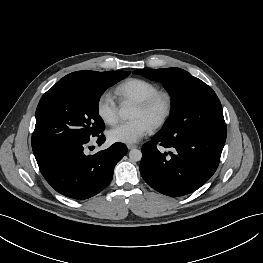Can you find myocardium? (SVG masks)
Wrapping results in <instances>:
<instances>
[{
    "mask_svg": "<svg viewBox=\"0 0 263 263\" xmlns=\"http://www.w3.org/2000/svg\"><path fill=\"white\" fill-rule=\"evenodd\" d=\"M161 100L164 101L165 107L163 112L153 121L152 129H158L162 127L171 117L174 110V97L172 93L166 90H158L148 98L135 104V107L141 109L144 112H148L153 109Z\"/></svg>",
    "mask_w": 263,
    "mask_h": 263,
    "instance_id": "f54148a6",
    "label": "myocardium"
}]
</instances>
